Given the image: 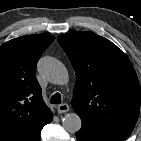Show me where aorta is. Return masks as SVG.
<instances>
[{
  "label": "aorta",
  "instance_id": "1",
  "mask_svg": "<svg viewBox=\"0 0 141 141\" xmlns=\"http://www.w3.org/2000/svg\"><path fill=\"white\" fill-rule=\"evenodd\" d=\"M38 70L52 84L65 85L69 81L65 65L54 57H42L38 62ZM62 124L64 129L70 133L79 131L82 126L81 119L75 112L66 114Z\"/></svg>",
  "mask_w": 141,
  "mask_h": 141
}]
</instances>
